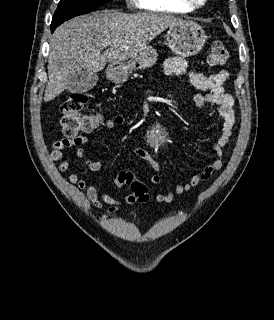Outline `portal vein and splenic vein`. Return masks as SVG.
I'll list each match as a JSON object with an SVG mask.
<instances>
[{"instance_id":"obj_1","label":"portal vein and splenic vein","mask_w":274,"mask_h":320,"mask_svg":"<svg viewBox=\"0 0 274 320\" xmlns=\"http://www.w3.org/2000/svg\"><path fill=\"white\" fill-rule=\"evenodd\" d=\"M111 42H105V44H103V46H110Z\"/></svg>"}]
</instances>
